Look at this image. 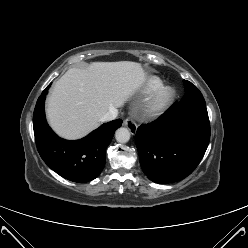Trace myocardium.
<instances>
[{"label": "myocardium", "instance_id": "obj_1", "mask_svg": "<svg viewBox=\"0 0 248 248\" xmlns=\"http://www.w3.org/2000/svg\"><path fill=\"white\" fill-rule=\"evenodd\" d=\"M174 90L170 87L160 86L151 94L147 105V113L151 116L161 114L172 102Z\"/></svg>", "mask_w": 248, "mask_h": 248}]
</instances>
